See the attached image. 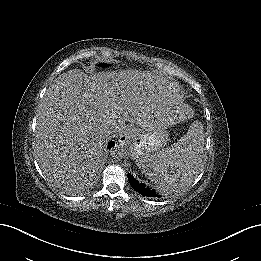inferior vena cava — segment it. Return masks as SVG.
<instances>
[{"label": "inferior vena cava", "mask_w": 261, "mask_h": 261, "mask_svg": "<svg viewBox=\"0 0 261 261\" xmlns=\"http://www.w3.org/2000/svg\"><path fill=\"white\" fill-rule=\"evenodd\" d=\"M113 132H114V131H112V130H106L105 133H106L107 136H110Z\"/></svg>", "instance_id": "1"}]
</instances>
